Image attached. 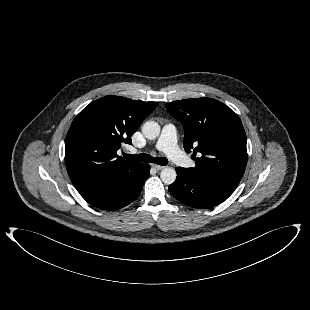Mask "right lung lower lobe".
I'll return each instance as SVG.
<instances>
[{
    "label": "right lung lower lobe",
    "mask_w": 310,
    "mask_h": 310,
    "mask_svg": "<svg viewBox=\"0 0 310 310\" xmlns=\"http://www.w3.org/2000/svg\"><path fill=\"white\" fill-rule=\"evenodd\" d=\"M149 175L150 165L141 164L136 171L128 176L110 181L80 194L94 207L117 210L132 203L139 196Z\"/></svg>",
    "instance_id": "1"
}]
</instances>
